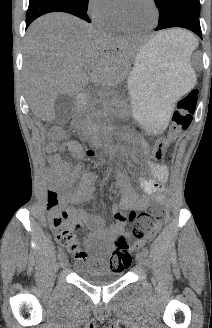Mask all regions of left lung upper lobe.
Returning a JSON list of instances; mask_svg holds the SVG:
<instances>
[{
  "instance_id": "5c2ea615",
  "label": "left lung upper lobe",
  "mask_w": 212,
  "mask_h": 328,
  "mask_svg": "<svg viewBox=\"0 0 212 328\" xmlns=\"http://www.w3.org/2000/svg\"><path fill=\"white\" fill-rule=\"evenodd\" d=\"M159 9V21H163L167 15L176 7H183L197 16L200 14L199 0H154Z\"/></svg>"
}]
</instances>
